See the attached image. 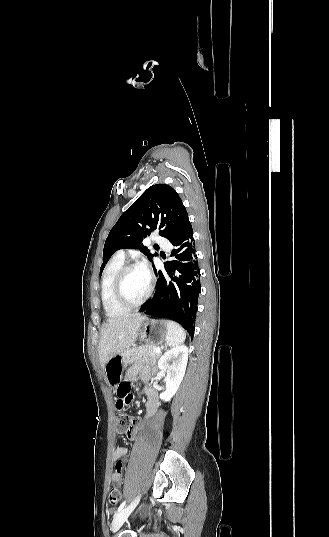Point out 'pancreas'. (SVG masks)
Listing matches in <instances>:
<instances>
[{
  "mask_svg": "<svg viewBox=\"0 0 329 537\" xmlns=\"http://www.w3.org/2000/svg\"><path fill=\"white\" fill-rule=\"evenodd\" d=\"M160 353L155 352V346L142 345L124 352L123 363L125 366L138 361H156Z\"/></svg>",
  "mask_w": 329,
  "mask_h": 537,
  "instance_id": "obj_1",
  "label": "pancreas"
}]
</instances>
